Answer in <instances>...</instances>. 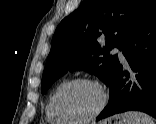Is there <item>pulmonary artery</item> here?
Wrapping results in <instances>:
<instances>
[{
  "instance_id": "e3ab8cb5",
  "label": "pulmonary artery",
  "mask_w": 156,
  "mask_h": 124,
  "mask_svg": "<svg viewBox=\"0 0 156 124\" xmlns=\"http://www.w3.org/2000/svg\"><path fill=\"white\" fill-rule=\"evenodd\" d=\"M112 52H113L114 54H117L118 57H119V59H120L122 62H124V63L126 62V59H125V57H124L122 51H121L118 47H114V48L112 49Z\"/></svg>"
}]
</instances>
